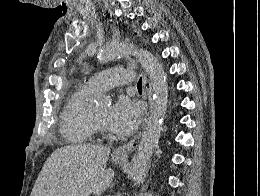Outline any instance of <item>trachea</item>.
Masks as SVG:
<instances>
[{
  "mask_svg": "<svg viewBox=\"0 0 260 196\" xmlns=\"http://www.w3.org/2000/svg\"><path fill=\"white\" fill-rule=\"evenodd\" d=\"M141 87H142V79L140 78L138 83H137V88L141 89Z\"/></svg>",
  "mask_w": 260,
  "mask_h": 196,
  "instance_id": "obj_1",
  "label": "trachea"
}]
</instances>
